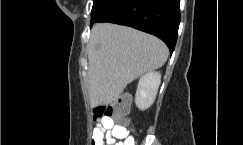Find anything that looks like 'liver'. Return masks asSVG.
Masks as SVG:
<instances>
[{"mask_svg": "<svg viewBox=\"0 0 243 145\" xmlns=\"http://www.w3.org/2000/svg\"><path fill=\"white\" fill-rule=\"evenodd\" d=\"M167 46L158 38L110 23L95 24L88 44L91 107L115 101L125 87L164 65Z\"/></svg>", "mask_w": 243, "mask_h": 145, "instance_id": "1", "label": "liver"}]
</instances>
